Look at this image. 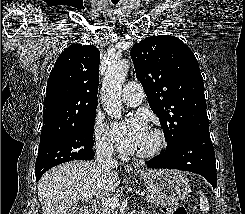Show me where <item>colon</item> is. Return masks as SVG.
I'll list each match as a JSON object with an SVG mask.
<instances>
[{"label": "colon", "instance_id": "colon-1", "mask_svg": "<svg viewBox=\"0 0 245 214\" xmlns=\"http://www.w3.org/2000/svg\"><path fill=\"white\" fill-rule=\"evenodd\" d=\"M165 214H187V210L183 205H175L164 209Z\"/></svg>", "mask_w": 245, "mask_h": 214}]
</instances>
